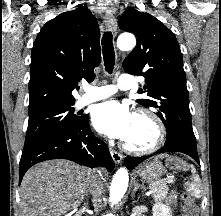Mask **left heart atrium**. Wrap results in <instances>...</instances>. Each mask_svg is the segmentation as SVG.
<instances>
[{
  "mask_svg": "<svg viewBox=\"0 0 221 216\" xmlns=\"http://www.w3.org/2000/svg\"><path fill=\"white\" fill-rule=\"evenodd\" d=\"M134 114L127 105L115 100L96 105L92 123L96 129L112 138L125 139L132 127Z\"/></svg>",
  "mask_w": 221,
  "mask_h": 216,
  "instance_id": "39dd6f15",
  "label": "left heart atrium"
}]
</instances>
